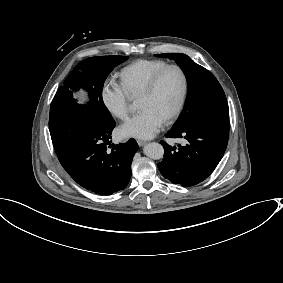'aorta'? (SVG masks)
Here are the masks:
<instances>
[{"mask_svg":"<svg viewBox=\"0 0 283 283\" xmlns=\"http://www.w3.org/2000/svg\"><path fill=\"white\" fill-rule=\"evenodd\" d=\"M143 152L147 157L154 160H159L164 155V148L159 143L151 142L143 148Z\"/></svg>","mask_w":283,"mask_h":283,"instance_id":"762f6f07","label":"aorta"}]
</instances>
